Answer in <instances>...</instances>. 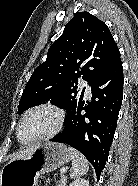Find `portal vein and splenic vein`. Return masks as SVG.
I'll list each match as a JSON object with an SVG mask.
<instances>
[{
    "instance_id": "obj_1",
    "label": "portal vein and splenic vein",
    "mask_w": 138,
    "mask_h": 186,
    "mask_svg": "<svg viewBox=\"0 0 138 186\" xmlns=\"http://www.w3.org/2000/svg\"><path fill=\"white\" fill-rule=\"evenodd\" d=\"M64 173H66V170L65 169H61L60 170V174L63 175Z\"/></svg>"
}]
</instances>
